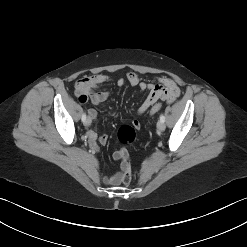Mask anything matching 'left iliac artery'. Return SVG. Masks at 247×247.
<instances>
[{
    "label": "left iliac artery",
    "instance_id": "44dca946",
    "mask_svg": "<svg viewBox=\"0 0 247 247\" xmlns=\"http://www.w3.org/2000/svg\"><path fill=\"white\" fill-rule=\"evenodd\" d=\"M160 120H161L162 122H165V116H164L163 114L160 116Z\"/></svg>",
    "mask_w": 247,
    "mask_h": 247
}]
</instances>
